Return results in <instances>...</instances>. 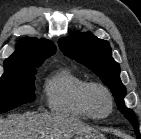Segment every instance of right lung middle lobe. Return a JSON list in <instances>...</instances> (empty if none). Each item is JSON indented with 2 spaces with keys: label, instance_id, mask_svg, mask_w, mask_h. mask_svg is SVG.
Wrapping results in <instances>:
<instances>
[{
  "label": "right lung middle lobe",
  "instance_id": "1",
  "mask_svg": "<svg viewBox=\"0 0 141 139\" xmlns=\"http://www.w3.org/2000/svg\"><path fill=\"white\" fill-rule=\"evenodd\" d=\"M35 66L4 69L0 77V113L12 110L35 100Z\"/></svg>",
  "mask_w": 141,
  "mask_h": 139
}]
</instances>
